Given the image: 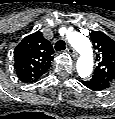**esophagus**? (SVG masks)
<instances>
[{
    "label": "esophagus",
    "instance_id": "obj_1",
    "mask_svg": "<svg viewBox=\"0 0 115 119\" xmlns=\"http://www.w3.org/2000/svg\"><path fill=\"white\" fill-rule=\"evenodd\" d=\"M67 51L74 58L78 56V53L75 51V49L70 46L67 48Z\"/></svg>",
    "mask_w": 115,
    "mask_h": 119
}]
</instances>
